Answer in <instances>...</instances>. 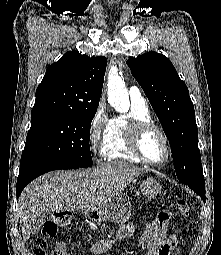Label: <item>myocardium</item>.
Here are the masks:
<instances>
[{
    "label": "myocardium",
    "mask_w": 221,
    "mask_h": 255,
    "mask_svg": "<svg viewBox=\"0 0 221 255\" xmlns=\"http://www.w3.org/2000/svg\"><path fill=\"white\" fill-rule=\"evenodd\" d=\"M150 131L157 132L164 142L166 148V156L161 162H154L149 160L142 151V140L144 136ZM127 141L132 153L140 161L147 165L156 167L163 166L168 163L171 158V145L166 133L151 121H136L131 123L127 129Z\"/></svg>",
    "instance_id": "f54148a6"
}]
</instances>
